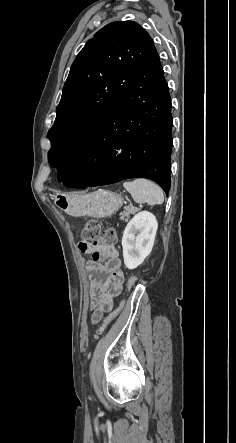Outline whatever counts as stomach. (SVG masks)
<instances>
[{
	"mask_svg": "<svg viewBox=\"0 0 236 443\" xmlns=\"http://www.w3.org/2000/svg\"><path fill=\"white\" fill-rule=\"evenodd\" d=\"M122 204L123 199L119 194L102 189L88 194L58 196L56 199V205L70 215L96 218L111 216Z\"/></svg>",
	"mask_w": 236,
	"mask_h": 443,
	"instance_id": "0dacf381",
	"label": "stomach"
}]
</instances>
